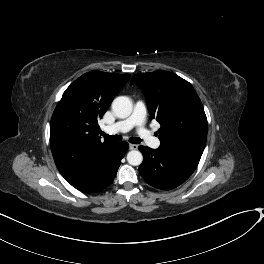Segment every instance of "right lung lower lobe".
<instances>
[{
    "instance_id": "98d812e1",
    "label": "right lung lower lobe",
    "mask_w": 264,
    "mask_h": 264,
    "mask_svg": "<svg viewBox=\"0 0 264 264\" xmlns=\"http://www.w3.org/2000/svg\"><path fill=\"white\" fill-rule=\"evenodd\" d=\"M127 150V142L115 143L111 153L102 162L97 171L70 184L85 193H96L105 189L115 178L117 170L121 164V159L124 157Z\"/></svg>"
}]
</instances>
